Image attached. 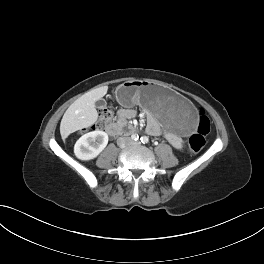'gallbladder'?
<instances>
[{
	"label": "gallbladder",
	"instance_id": "1",
	"mask_svg": "<svg viewBox=\"0 0 264 264\" xmlns=\"http://www.w3.org/2000/svg\"><path fill=\"white\" fill-rule=\"evenodd\" d=\"M95 105H96L97 107H104V106L106 105V101H105L104 99L97 100V101L95 102Z\"/></svg>",
	"mask_w": 264,
	"mask_h": 264
}]
</instances>
